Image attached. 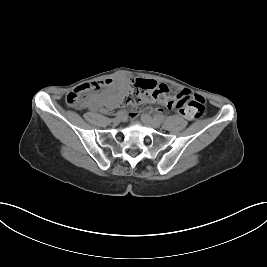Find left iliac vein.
<instances>
[{
	"mask_svg": "<svg viewBox=\"0 0 267 267\" xmlns=\"http://www.w3.org/2000/svg\"><path fill=\"white\" fill-rule=\"evenodd\" d=\"M142 121L144 124H146L147 126L152 127V128H159L161 126L160 121L156 120L155 118H152L148 114L142 115Z\"/></svg>",
	"mask_w": 267,
	"mask_h": 267,
	"instance_id": "4c4485c4",
	"label": "left iliac vein"
}]
</instances>
